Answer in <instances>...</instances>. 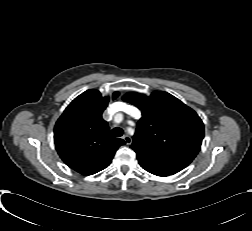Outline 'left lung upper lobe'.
<instances>
[{
    "label": "left lung upper lobe",
    "instance_id": "left-lung-upper-lobe-1",
    "mask_svg": "<svg viewBox=\"0 0 252 231\" xmlns=\"http://www.w3.org/2000/svg\"><path fill=\"white\" fill-rule=\"evenodd\" d=\"M123 100L142 112L131 145L137 158L193 161L204 137L203 122L194 110L162 91L149 97L129 92Z\"/></svg>",
    "mask_w": 252,
    "mask_h": 231
}]
</instances>
